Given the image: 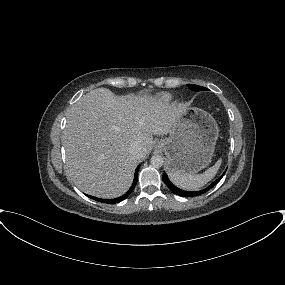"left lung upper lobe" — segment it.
Here are the masks:
<instances>
[{
	"instance_id": "1",
	"label": "left lung upper lobe",
	"mask_w": 285,
	"mask_h": 285,
	"mask_svg": "<svg viewBox=\"0 0 285 285\" xmlns=\"http://www.w3.org/2000/svg\"><path fill=\"white\" fill-rule=\"evenodd\" d=\"M187 86H188L192 91H204V90H207V88H205V87L198 86V85H194V84H187Z\"/></svg>"
}]
</instances>
